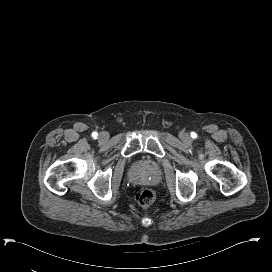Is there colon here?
I'll return each mask as SVG.
<instances>
[{"label":"colon","instance_id":"5ec220e1","mask_svg":"<svg viewBox=\"0 0 272 272\" xmlns=\"http://www.w3.org/2000/svg\"><path fill=\"white\" fill-rule=\"evenodd\" d=\"M156 195L152 188H139L134 195L136 203L142 207L150 206L155 201Z\"/></svg>","mask_w":272,"mask_h":272}]
</instances>
